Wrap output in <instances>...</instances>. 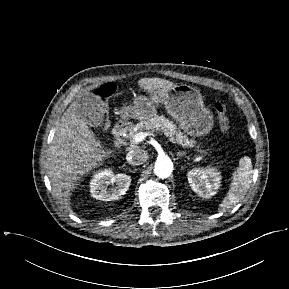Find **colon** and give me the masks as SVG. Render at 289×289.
Masks as SVG:
<instances>
[{"label":"colon","instance_id":"obj_1","mask_svg":"<svg viewBox=\"0 0 289 289\" xmlns=\"http://www.w3.org/2000/svg\"><path fill=\"white\" fill-rule=\"evenodd\" d=\"M115 90L116 86L111 82L99 86L96 90V96L101 103V109L105 115L109 109L108 100L114 94ZM214 108L219 119L221 130L227 133L230 129V122L226 104L222 101H217L214 105Z\"/></svg>","mask_w":289,"mask_h":289}]
</instances>
